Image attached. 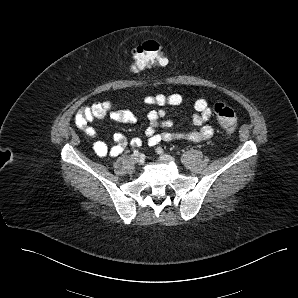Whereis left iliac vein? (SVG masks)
Returning <instances> with one entry per match:
<instances>
[{
  "instance_id": "left-iliac-vein-1",
  "label": "left iliac vein",
  "mask_w": 298,
  "mask_h": 298,
  "mask_svg": "<svg viewBox=\"0 0 298 298\" xmlns=\"http://www.w3.org/2000/svg\"><path fill=\"white\" fill-rule=\"evenodd\" d=\"M160 160L163 162H174V158L167 154L160 155Z\"/></svg>"
}]
</instances>
